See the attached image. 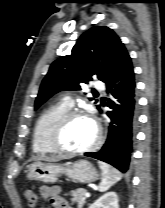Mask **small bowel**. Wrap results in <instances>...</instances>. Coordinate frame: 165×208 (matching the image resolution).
Wrapping results in <instances>:
<instances>
[{"label":"small bowel","mask_w":165,"mask_h":208,"mask_svg":"<svg viewBox=\"0 0 165 208\" xmlns=\"http://www.w3.org/2000/svg\"><path fill=\"white\" fill-rule=\"evenodd\" d=\"M40 193L43 198L49 199L53 208H72L61 196V189L58 186H42Z\"/></svg>","instance_id":"1"}]
</instances>
